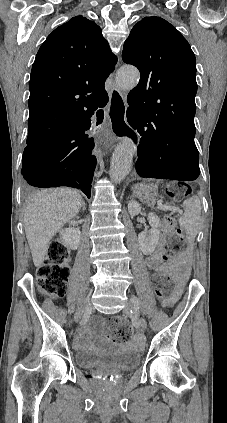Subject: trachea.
<instances>
[{"label":"trachea","instance_id":"obj_1","mask_svg":"<svg viewBox=\"0 0 227 423\" xmlns=\"http://www.w3.org/2000/svg\"><path fill=\"white\" fill-rule=\"evenodd\" d=\"M103 114H104L103 110H98V112H97V116H101V117H103Z\"/></svg>","mask_w":227,"mask_h":423}]
</instances>
